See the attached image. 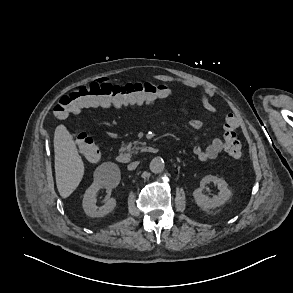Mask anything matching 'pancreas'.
I'll return each mask as SVG.
<instances>
[{"instance_id": "obj_1", "label": "pancreas", "mask_w": 293, "mask_h": 293, "mask_svg": "<svg viewBox=\"0 0 293 293\" xmlns=\"http://www.w3.org/2000/svg\"><path fill=\"white\" fill-rule=\"evenodd\" d=\"M136 145H137V141H135L134 143L123 144L120 151L133 152L134 149L139 150L140 147H136Z\"/></svg>"}]
</instances>
